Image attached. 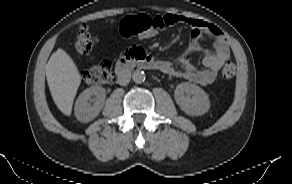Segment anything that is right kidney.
I'll use <instances>...</instances> for the list:
<instances>
[{"label":"right kidney","mask_w":292,"mask_h":184,"mask_svg":"<svg viewBox=\"0 0 292 184\" xmlns=\"http://www.w3.org/2000/svg\"><path fill=\"white\" fill-rule=\"evenodd\" d=\"M106 91L100 86L84 90L76 100L75 116L81 122H89L98 116L104 106Z\"/></svg>","instance_id":"right-kidney-1"}]
</instances>
